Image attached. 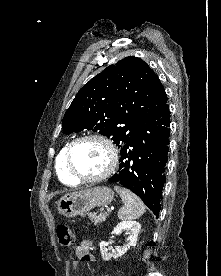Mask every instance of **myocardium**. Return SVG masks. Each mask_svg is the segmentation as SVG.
I'll return each instance as SVG.
<instances>
[{
  "instance_id": "obj_1",
  "label": "myocardium",
  "mask_w": 221,
  "mask_h": 276,
  "mask_svg": "<svg viewBox=\"0 0 221 276\" xmlns=\"http://www.w3.org/2000/svg\"><path fill=\"white\" fill-rule=\"evenodd\" d=\"M85 140H96V141L101 142L102 144L105 145V147L107 148L108 153H109L108 166L101 174L94 176V177H85V176L78 174L74 170L73 165H72L73 148L79 142L85 141ZM117 163H118V154H117L114 144L107 137L100 135V134H86V135H82L80 137L75 138L68 144L66 152H65V164H66L67 171H68L69 175L71 177H73L75 180H77L78 182L94 183V182L102 181V180L106 179L107 177H109L114 172V170L117 166Z\"/></svg>"
}]
</instances>
